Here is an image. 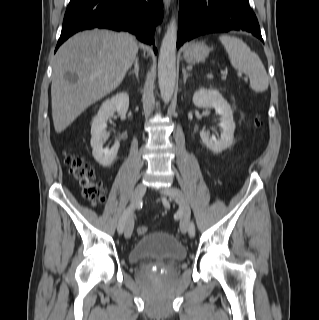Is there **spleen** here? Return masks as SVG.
Listing matches in <instances>:
<instances>
[{"label":"spleen","mask_w":319,"mask_h":320,"mask_svg":"<svg viewBox=\"0 0 319 320\" xmlns=\"http://www.w3.org/2000/svg\"><path fill=\"white\" fill-rule=\"evenodd\" d=\"M219 40L228 53L232 66L249 77L251 89L255 92L267 90L269 78L259 56L240 38L223 34L219 36Z\"/></svg>","instance_id":"spleen-1"}]
</instances>
